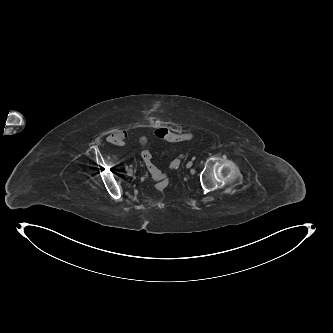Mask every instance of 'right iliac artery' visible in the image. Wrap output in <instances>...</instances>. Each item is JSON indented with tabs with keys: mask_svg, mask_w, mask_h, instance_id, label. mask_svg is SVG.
Instances as JSON below:
<instances>
[{
	"mask_svg": "<svg viewBox=\"0 0 333 333\" xmlns=\"http://www.w3.org/2000/svg\"><path fill=\"white\" fill-rule=\"evenodd\" d=\"M126 170L129 171V170H131V169H129V166H126Z\"/></svg>",
	"mask_w": 333,
	"mask_h": 333,
	"instance_id": "1",
	"label": "right iliac artery"
}]
</instances>
